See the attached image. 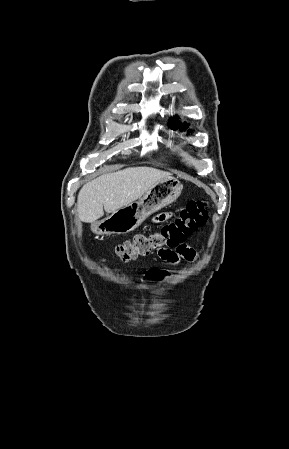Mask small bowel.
Segmentation results:
<instances>
[{
  "mask_svg": "<svg viewBox=\"0 0 289 449\" xmlns=\"http://www.w3.org/2000/svg\"><path fill=\"white\" fill-rule=\"evenodd\" d=\"M158 256L168 264L177 265L182 259L194 261L196 259V252L193 248L182 244L176 248L160 249L158 250Z\"/></svg>",
  "mask_w": 289,
  "mask_h": 449,
  "instance_id": "obj_1",
  "label": "small bowel"
}]
</instances>
